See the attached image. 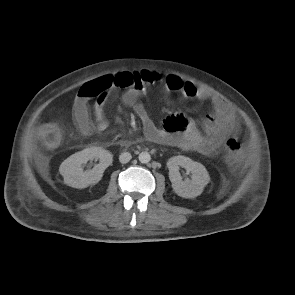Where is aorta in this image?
Returning <instances> with one entry per match:
<instances>
[{
  "mask_svg": "<svg viewBox=\"0 0 295 295\" xmlns=\"http://www.w3.org/2000/svg\"><path fill=\"white\" fill-rule=\"evenodd\" d=\"M138 158H139V161L143 164H146L150 162L151 160V156L148 152H141Z\"/></svg>",
  "mask_w": 295,
  "mask_h": 295,
  "instance_id": "1",
  "label": "aorta"
}]
</instances>
